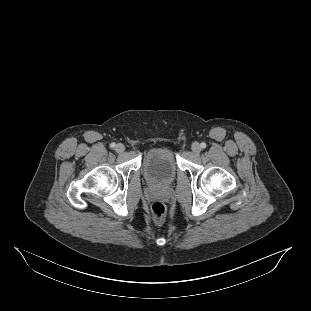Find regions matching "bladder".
I'll return each instance as SVG.
<instances>
[{"instance_id": "31cf9c89", "label": "bladder", "mask_w": 311, "mask_h": 311, "mask_svg": "<svg viewBox=\"0 0 311 311\" xmlns=\"http://www.w3.org/2000/svg\"><path fill=\"white\" fill-rule=\"evenodd\" d=\"M178 171L175 151L170 146H158L151 149L144 160V175L155 186L171 184Z\"/></svg>"}]
</instances>
